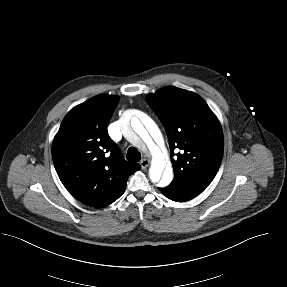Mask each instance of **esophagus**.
<instances>
[{"label": "esophagus", "instance_id": "obj_1", "mask_svg": "<svg viewBox=\"0 0 287 287\" xmlns=\"http://www.w3.org/2000/svg\"><path fill=\"white\" fill-rule=\"evenodd\" d=\"M140 165L143 169H145L150 165V160L147 158H144L140 161Z\"/></svg>", "mask_w": 287, "mask_h": 287}]
</instances>
